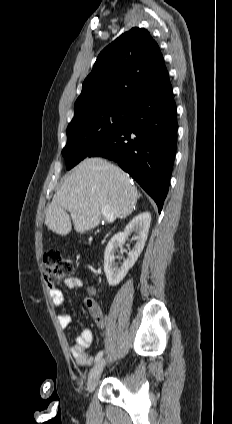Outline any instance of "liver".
Masks as SVG:
<instances>
[{
    "label": "liver",
    "instance_id": "obj_1",
    "mask_svg": "<svg viewBox=\"0 0 232 424\" xmlns=\"http://www.w3.org/2000/svg\"><path fill=\"white\" fill-rule=\"evenodd\" d=\"M137 199V189L122 169L102 158H86L64 177L46 212L45 225L64 236L71 231L72 220L74 229L83 233L100 223L102 206L122 219Z\"/></svg>",
    "mask_w": 232,
    "mask_h": 424
}]
</instances>
